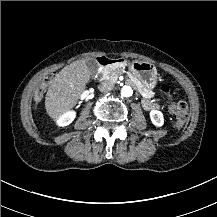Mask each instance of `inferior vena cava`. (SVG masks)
I'll list each match as a JSON object with an SVG mask.
<instances>
[{"mask_svg": "<svg viewBox=\"0 0 217 217\" xmlns=\"http://www.w3.org/2000/svg\"><path fill=\"white\" fill-rule=\"evenodd\" d=\"M98 89H99L100 92L108 93L113 89V86L108 81H102L98 85Z\"/></svg>", "mask_w": 217, "mask_h": 217, "instance_id": "inferior-vena-cava-1", "label": "inferior vena cava"}]
</instances>
